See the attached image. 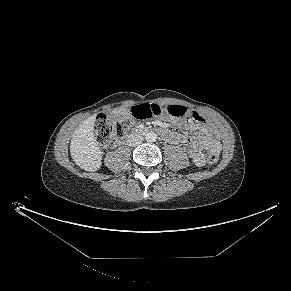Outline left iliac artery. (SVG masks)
I'll return each mask as SVG.
<instances>
[{
  "instance_id": "obj_1",
  "label": "left iliac artery",
  "mask_w": 291,
  "mask_h": 291,
  "mask_svg": "<svg viewBox=\"0 0 291 291\" xmlns=\"http://www.w3.org/2000/svg\"><path fill=\"white\" fill-rule=\"evenodd\" d=\"M150 139H151L153 142H156V141H157V137H156V135H152V136L150 137Z\"/></svg>"
}]
</instances>
